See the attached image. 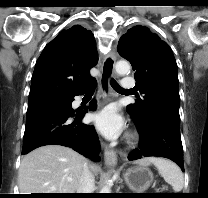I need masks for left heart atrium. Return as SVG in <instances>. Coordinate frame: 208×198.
Returning a JSON list of instances; mask_svg holds the SVG:
<instances>
[{
  "instance_id": "39dd6f15",
  "label": "left heart atrium",
  "mask_w": 208,
  "mask_h": 198,
  "mask_svg": "<svg viewBox=\"0 0 208 198\" xmlns=\"http://www.w3.org/2000/svg\"><path fill=\"white\" fill-rule=\"evenodd\" d=\"M93 121L96 128L109 139L119 136L124 128L123 117L112 106H107L96 113Z\"/></svg>"
}]
</instances>
